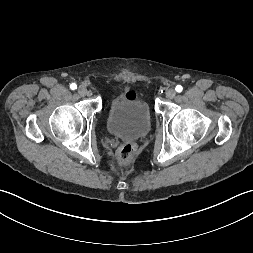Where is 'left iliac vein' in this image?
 <instances>
[{"instance_id":"1","label":"left iliac vein","mask_w":253,"mask_h":253,"mask_svg":"<svg viewBox=\"0 0 253 253\" xmlns=\"http://www.w3.org/2000/svg\"><path fill=\"white\" fill-rule=\"evenodd\" d=\"M175 95H176V91L172 88L167 90V92H166V97L168 99H173L175 97Z\"/></svg>"}]
</instances>
